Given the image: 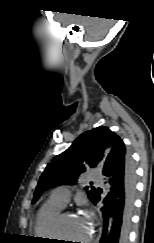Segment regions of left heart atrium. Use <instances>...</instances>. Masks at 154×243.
Returning a JSON list of instances; mask_svg holds the SVG:
<instances>
[{
  "instance_id": "left-heart-atrium-1",
  "label": "left heart atrium",
  "mask_w": 154,
  "mask_h": 243,
  "mask_svg": "<svg viewBox=\"0 0 154 243\" xmlns=\"http://www.w3.org/2000/svg\"><path fill=\"white\" fill-rule=\"evenodd\" d=\"M82 217H84L88 222H91V217H90L89 213L84 212Z\"/></svg>"
}]
</instances>
